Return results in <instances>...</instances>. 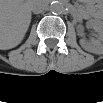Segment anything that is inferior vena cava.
<instances>
[{
	"label": "inferior vena cava",
	"mask_w": 103,
	"mask_h": 103,
	"mask_svg": "<svg viewBox=\"0 0 103 103\" xmlns=\"http://www.w3.org/2000/svg\"><path fill=\"white\" fill-rule=\"evenodd\" d=\"M45 9H46V3L41 0H35L31 5V10L34 14H40L44 12Z\"/></svg>",
	"instance_id": "obj_1"
}]
</instances>
